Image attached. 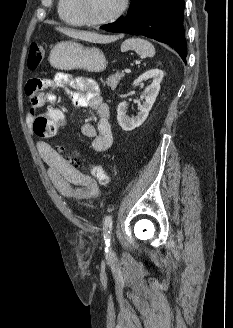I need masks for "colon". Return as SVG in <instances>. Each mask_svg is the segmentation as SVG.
<instances>
[{"mask_svg":"<svg viewBox=\"0 0 233 328\" xmlns=\"http://www.w3.org/2000/svg\"><path fill=\"white\" fill-rule=\"evenodd\" d=\"M44 58V48L43 46L32 43L29 48L27 67L30 70L37 69ZM66 123L65 114L57 109L50 110L46 113L37 114L33 119V131L39 137H52L57 131L62 128ZM62 156L67 154V150L63 146H59L56 149ZM67 160L74 163L75 159L72 156H66ZM93 173L99 179L101 183H106L108 177L106 173L98 167L93 169Z\"/></svg>","mask_w":233,"mask_h":328,"instance_id":"obj_1","label":"colon"}]
</instances>
